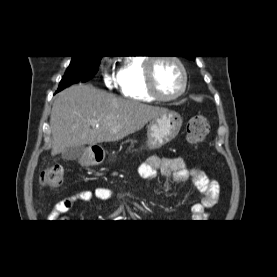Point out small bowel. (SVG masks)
<instances>
[{"label": "small bowel", "mask_w": 277, "mask_h": 277, "mask_svg": "<svg viewBox=\"0 0 277 277\" xmlns=\"http://www.w3.org/2000/svg\"><path fill=\"white\" fill-rule=\"evenodd\" d=\"M138 174L147 180L155 181L160 174L165 178V187L170 181L183 184L191 180L202 194L200 202L192 206V217L203 220L208 216V210L213 208L220 197V186L216 180L210 179L200 168L188 167L181 157L158 158L151 157L138 168ZM114 197V192L108 188L99 187L92 190H78L59 200L49 213V222H58L66 216L71 208L79 202L93 199L106 201Z\"/></svg>", "instance_id": "obj_1"}]
</instances>
